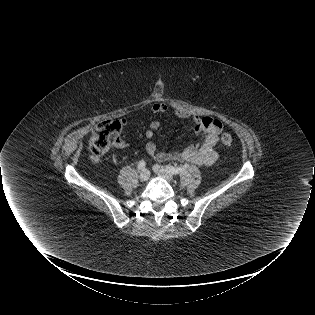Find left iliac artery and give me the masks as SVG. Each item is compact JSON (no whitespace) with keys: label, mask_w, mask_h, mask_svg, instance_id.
I'll use <instances>...</instances> for the list:
<instances>
[{"label":"left iliac artery","mask_w":315,"mask_h":315,"mask_svg":"<svg viewBox=\"0 0 315 315\" xmlns=\"http://www.w3.org/2000/svg\"><path fill=\"white\" fill-rule=\"evenodd\" d=\"M157 168H160L159 165H155ZM188 168V165H182V166H178V167H174V166H166L165 169L173 175L182 173L184 171H186Z\"/></svg>","instance_id":"1"}]
</instances>
